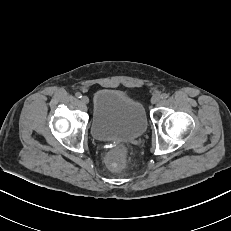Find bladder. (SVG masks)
<instances>
[{
  "mask_svg": "<svg viewBox=\"0 0 231 231\" xmlns=\"http://www.w3.org/2000/svg\"><path fill=\"white\" fill-rule=\"evenodd\" d=\"M146 129L147 116L140 102L111 89L95 92L90 130L96 140L131 141Z\"/></svg>",
  "mask_w": 231,
  "mask_h": 231,
  "instance_id": "bladder-1",
  "label": "bladder"
}]
</instances>
